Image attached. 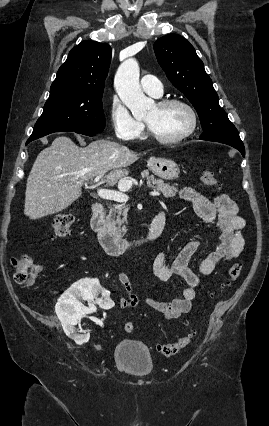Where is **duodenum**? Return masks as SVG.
Here are the masks:
<instances>
[{
  "label": "duodenum",
  "mask_w": 269,
  "mask_h": 426,
  "mask_svg": "<svg viewBox=\"0 0 269 426\" xmlns=\"http://www.w3.org/2000/svg\"><path fill=\"white\" fill-rule=\"evenodd\" d=\"M165 223L166 214L163 210H159L145 235L127 239L109 228L105 221L104 207L100 202H95L92 206V229L96 232L106 253L112 256L127 253L155 241L161 236Z\"/></svg>",
  "instance_id": "1"
}]
</instances>
